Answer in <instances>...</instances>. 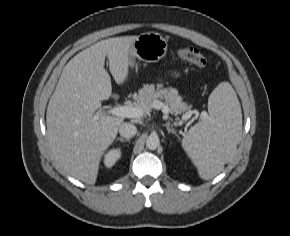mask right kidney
I'll use <instances>...</instances> for the list:
<instances>
[{
    "label": "right kidney",
    "instance_id": "obj_1",
    "mask_svg": "<svg viewBox=\"0 0 290 236\" xmlns=\"http://www.w3.org/2000/svg\"><path fill=\"white\" fill-rule=\"evenodd\" d=\"M120 157H121L120 148L111 149L109 152L105 154V157H104L105 166L108 168L112 167Z\"/></svg>",
    "mask_w": 290,
    "mask_h": 236
}]
</instances>
